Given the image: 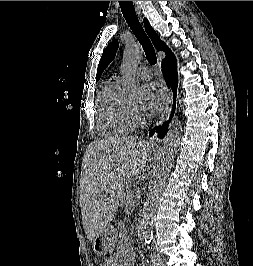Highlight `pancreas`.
<instances>
[{
    "label": "pancreas",
    "instance_id": "cf45deb5",
    "mask_svg": "<svg viewBox=\"0 0 253 266\" xmlns=\"http://www.w3.org/2000/svg\"><path fill=\"white\" fill-rule=\"evenodd\" d=\"M138 199H139L138 191L128 189L122 198V203L125 204L130 210H133L138 203Z\"/></svg>",
    "mask_w": 253,
    "mask_h": 266
}]
</instances>
